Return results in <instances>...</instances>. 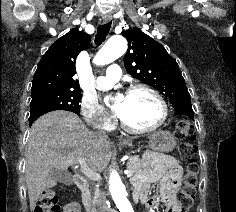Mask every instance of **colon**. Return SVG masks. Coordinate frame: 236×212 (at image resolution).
I'll list each match as a JSON object with an SVG mask.
<instances>
[{"label":"colon","mask_w":236,"mask_h":212,"mask_svg":"<svg viewBox=\"0 0 236 212\" xmlns=\"http://www.w3.org/2000/svg\"><path fill=\"white\" fill-rule=\"evenodd\" d=\"M175 135L180 139L189 138L179 146L180 156L187 160L188 164L183 178V186L177 193V201L181 207L179 212H189L195 203L198 184V166L194 159L197 149L192 142L193 128L190 121L185 118L178 120ZM35 212H60L58 196L54 190H45L40 194Z\"/></svg>","instance_id":"5ec220e1"}]
</instances>
